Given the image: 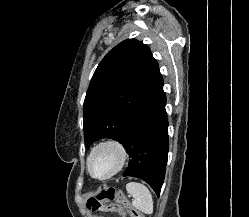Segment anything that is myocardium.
<instances>
[{"label":"myocardium","instance_id":"f54148a6","mask_svg":"<svg viewBox=\"0 0 249 217\" xmlns=\"http://www.w3.org/2000/svg\"><path fill=\"white\" fill-rule=\"evenodd\" d=\"M111 150L116 155L112 168L103 175H95L92 171V159L101 150ZM128 159V151L125 145L118 139L107 138L95 144L89 152L86 167L89 175L96 180H107L122 170Z\"/></svg>","mask_w":249,"mask_h":217}]
</instances>
